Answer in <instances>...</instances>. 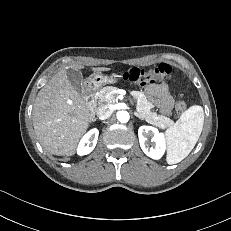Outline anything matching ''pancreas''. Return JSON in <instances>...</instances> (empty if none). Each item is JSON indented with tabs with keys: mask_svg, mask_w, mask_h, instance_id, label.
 Masks as SVG:
<instances>
[{
	"mask_svg": "<svg viewBox=\"0 0 231 231\" xmlns=\"http://www.w3.org/2000/svg\"><path fill=\"white\" fill-rule=\"evenodd\" d=\"M116 90L117 88L113 86L103 87L96 93L95 98L99 103H113L115 102L113 93ZM131 95L137 100V111L143 120L160 128H167L173 124V120L170 118L157 114L151 110L154 106L148 101L144 93L131 91Z\"/></svg>",
	"mask_w": 231,
	"mask_h": 231,
	"instance_id": "cf45deb5",
	"label": "pancreas"
}]
</instances>
